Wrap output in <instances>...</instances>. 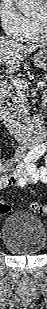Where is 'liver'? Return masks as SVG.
<instances>
[{
	"label": "liver",
	"instance_id": "6515ba94",
	"mask_svg": "<svg viewBox=\"0 0 47 309\" xmlns=\"http://www.w3.org/2000/svg\"><path fill=\"white\" fill-rule=\"evenodd\" d=\"M34 44H22L6 37H0V62L6 66V73L18 71L21 61L37 49Z\"/></svg>",
	"mask_w": 47,
	"mask_h": 309
}]
</instances>
